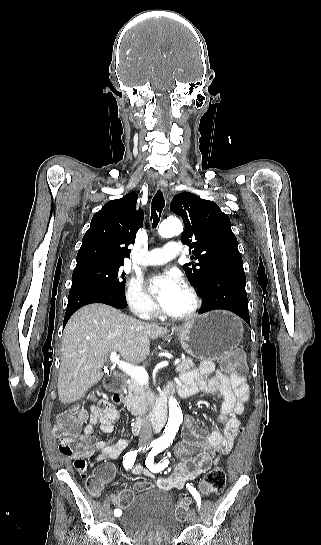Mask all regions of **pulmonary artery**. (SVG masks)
<instances>
[{
  "label": "pulmonary artery",
  "mask_w": 321,
  "mask_h": 545,
  "mask_svg": "<svg viewBox=\"0 0 321 545\" xmlns=\"http://www.w3.org/2000/svg\"><path fill=\"white\" fill-rule=\"evenodd\" d=\"M165 250L156 248L153 250H147L144 252V259L141 261L142 266H153L161 265L167 261H175L179 258V253L177 252L180 248V245L177 241H166L164 245Z\"/></svg>",
  "instance_id": "1"
}]
</instances>
